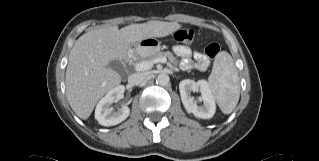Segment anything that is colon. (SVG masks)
<instances>
[{
	"mask_svg": "<svg viewBox=\"0 0 319 161\" xmlns=\"http://www.w3.org/2000/svg\"><path fill=\"white\" fill-rule=\"evenodd\" d=\"M195 32L193 29H179L174 34V39L179 43H191L194 40ZM220 51V45L216 42H210L204 47V55L208 58H215Z\"/></svg>",
	"mask_w": 319,
	"mask_h": 161,
	"instance_id": "obj_1",
	"label": "colon"
}]
</instances>
